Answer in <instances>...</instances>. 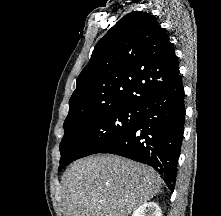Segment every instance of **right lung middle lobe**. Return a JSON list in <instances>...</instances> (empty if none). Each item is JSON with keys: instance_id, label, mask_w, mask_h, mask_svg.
<instances>
[{"instance_id": "right-lung-middle-lobe-1", "label": "right lung middle lobe", "mask_w": 221, "mask_h": 216, "mask_svg": "<svg viewBox=\"0 0 221 216\" xmlns=\"http://www.w3.org/2000/svg\"><path fill=\"white\" fill-rule=\"evenodd\" d=\"M138 109L137 106L106 109L74 124L64 125L59 170L74 160L100 153L117 141L134 126Z\"/></svg>"}]
</instances>
